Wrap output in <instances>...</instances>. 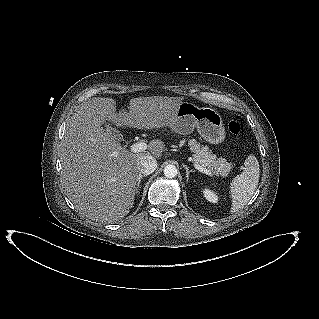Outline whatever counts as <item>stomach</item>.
<instances>
[{"instance_id": "0dacf381", "label": "stomach", "mask_w": 319, "mask_h": 319, "mask_svg": "<svg viewBox=\"0 0 319 319\" xmlns=\"http://www.w3.org/2000/svg\"><path fill=\"white\" fill-rule=\"evenodd\" d=\"M194 128L211 144L221 143L225 139V127L218 111L210 107H198L191 102H182L177 108L172 130L187 135Z\"/></svg>"}]
</instances>
